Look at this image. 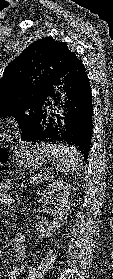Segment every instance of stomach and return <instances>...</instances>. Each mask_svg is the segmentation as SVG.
I'll use <instances>...</instances> for the list:
<instances>
[{"label":"stomach","instance_id":"obj_1","mask_svg":"<svg viewBox=\"0 0 113 279\" xmlns=\"http://www.w3.org/2000/svg\"><path fill=\"white\" fill-rule=\"evenodd\" d=\"M50 157V153L41 146L28 144L16 149L12 154L15 165L24 169H35L42 166Z\"/></svg>","mask_w":113,"mask_h":279}]
</instances>
